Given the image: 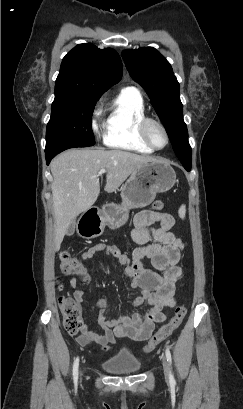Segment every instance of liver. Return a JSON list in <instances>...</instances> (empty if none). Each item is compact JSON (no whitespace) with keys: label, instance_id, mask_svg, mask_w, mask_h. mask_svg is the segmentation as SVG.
I'll return each mask as SVG.
<instances>
[{"label":"liver","instance_id":"1","mask_svg":"<svg viewBox=\"0 0 243 409\" xmlns=\"http://www.w3.org/2000/svg\"><path fill=\"white\" fill-rule=\"evenodd\" d=\"M151 161L156 159L118 149H70L55 157L50 164L55 251H59L69 224L96 202L101 169L107 170L104 190L112 193L137 168Z\"/></svg>","mask_w":243,"mask_h":409}]
</instances>
